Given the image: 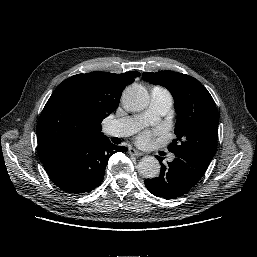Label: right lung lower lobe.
<instances>
[{
    "mask_svg": "<svg viewBox=\"0 0 257 257\" xmlns=\"http://www.w3.org/2000/svg\"><path fill=\"white\" fill-rule=\"evenodd\" d=\"M105 137L98 141L65 147L41 162L51 180L63 191L73 194L90 192L100 186L111 155L126 152Z\"/></svg>",
    "mask_w": 257,
    "mask_h": 257,
    "instance_id": "right-lung-lower-lobe-1",
    "label": "right lung lower lobe"
}]
</instances>
